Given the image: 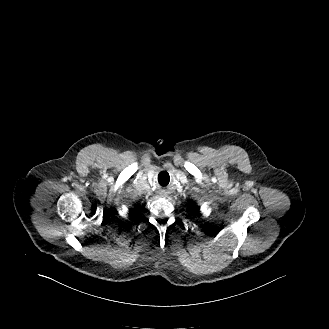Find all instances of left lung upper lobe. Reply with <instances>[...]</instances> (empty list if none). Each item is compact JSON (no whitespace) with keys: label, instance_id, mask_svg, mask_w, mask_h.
<instances>
[{"label":"left lung upper lobe","instance_id":"1","mask_svg":"<svg viewBox=\"0 0 329 329\" xmlns=\"http://www.w3.org/2000/svg\"><path fill=\"white\" fill-rule=\"evenodd\" d=\"M193 205V204H192ZM194 206V209L193 210H195V212H198L199 211V208L198 207H196L195 205H193Z\"/></svg>","mask_w":329,"mask_h":329}]
</instances>
